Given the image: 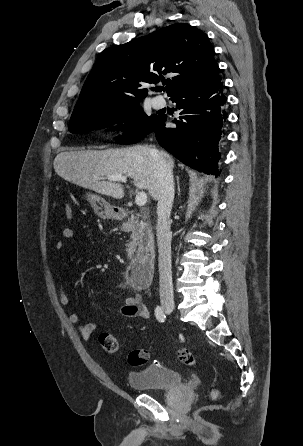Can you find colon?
<instances>
[{
  "label": "colon",
  "instance_id": "obj_1",
  "mask_svg": "<svg viewBox=\"0 0 303 446\" xmlns=\"http://www.w3.org/2000/svg\"><path fill=\"white\" fill-rule=\"evenodd\" d=\"M65 215L67 219L72 217V208L69 204L64 207ZM99 342L103 349L109 353L113 354L118 349V341L116 337L111 333H102L99 336ZM149 360V352L145 349L133 350L128 355V362L133 366H142L146 364ZM177 360L186 366H194L196 364L195 355L189 350L182 349L177 354ZM219 396L217 391L212 392V398L216 399Z\"/></svg>",
  "mask_w": 303,
  "mask_h": 446
}]
</instances>
